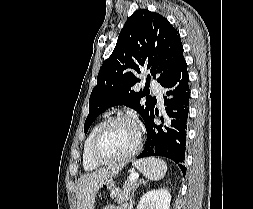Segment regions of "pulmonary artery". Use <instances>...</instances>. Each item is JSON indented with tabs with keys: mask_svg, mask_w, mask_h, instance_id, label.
Here are the masks:
<instances>
[{
	"mask_svg": "<svg viewBox=\"0 0 253 209\" xmlns=\"http://www.w3.org/2000/svg\"><path fill=\"white\" fill-rule=\"evenodd\" d=\"M151 88H152L154 94L157 95L158 100L161 102V100H162V86L155 81H151Z\"/></svg>",
	"mask_w": 253,
	"mask_h": 209,
	"instance_id": "e3ab8cb5",
	"label": "pulmonary artery"
}]
</instances>
